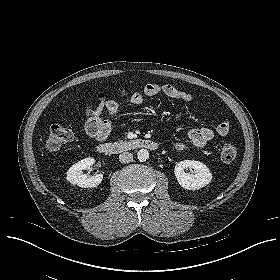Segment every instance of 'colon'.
I'll list each match as a JSON object with an SVG mask.
<instances>
[{
    "mask_svg": "<svg viewBox=\"0 0 280 280\" xmlns=\"http://www.w3.org/2000/svg\"><path fill=\"white\" fill-rule=\"evenodd\" d=\"M228 122L227 120H224ZM89 132L94 135H99V130L94 126H89ZM73 131L63 124H54L49 129L48 140L46 147L48 151L56 153L63 146L69 143L73 139ZM237 147L232 143L224 144L221 149V159L224 162H232L236 159Z\"/></svg>",
    "mask_w": 280,
    "mask_h": 280,
    "instance_id": "obj_1",
    "label": "colon"
}]
</instances>
